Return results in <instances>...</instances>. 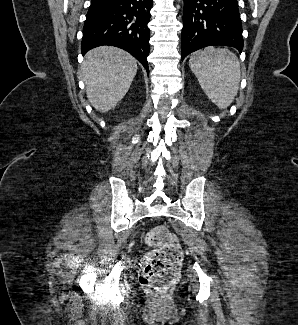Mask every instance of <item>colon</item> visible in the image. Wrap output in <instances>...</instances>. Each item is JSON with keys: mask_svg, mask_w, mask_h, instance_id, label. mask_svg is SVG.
<instances>
[{"mask_svg": "<svg viewBox=\"0 0 298 325\" xmlns=\"http://www.w3.org/2000/svg\"><path fill=\"white\" fill-rule=\"evenodd\" d=\"M145 242L152 250L140 263V283L152 292L163 293L178 279L183 259L181 245L176 235L162 225L152 228Z\"/></svg>", "mask_w": 298, "mask_h": 325, "instance_id": "1", "label": "colon"}]
</instances>
